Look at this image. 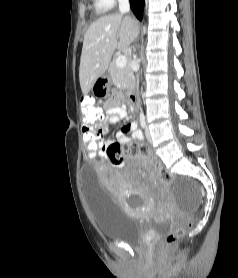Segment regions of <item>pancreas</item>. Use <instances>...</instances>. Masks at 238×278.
<instances>
[{
    "label": "pancreas",
    "mask_w": 238,
    "mask_h": 278,
    "mask_svg": "<svg viewBox=\"0 0 238 278\" xmlns=\"http://www.w3.org/2000/svg\"><path fill=\"white\" fill-rule=\"evenodd\" d=\"M111 79L114 84L118 85L122 90H131L135 85V77L129 65H125L123 68L116 66V59H114L109 67Z\"/></svg>",
    "instance_id": "pancreas-1"
}]
</instances>
